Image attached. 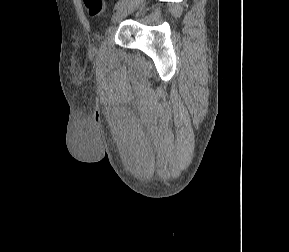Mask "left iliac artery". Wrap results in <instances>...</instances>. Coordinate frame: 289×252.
I'll return each instance as SVG.
<instances>
[{"label":"left iliac artery","instance_id":"1","mask_svg":"<svg viewBox=\"0 0 289 252\" xmlns=\"http://www.w3.org/2000/svg\"><path fill=\"white\" fill-rule=\"evenodd\" d=\"M128 0H119L116 4L114 9H119L120 7L124 6Z\"/></svg>","mask_w":289,"mask_h":252}]
</instances>
